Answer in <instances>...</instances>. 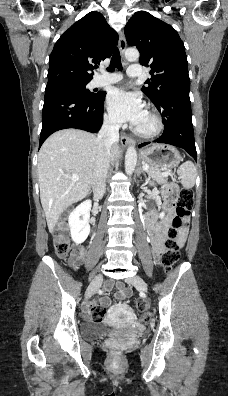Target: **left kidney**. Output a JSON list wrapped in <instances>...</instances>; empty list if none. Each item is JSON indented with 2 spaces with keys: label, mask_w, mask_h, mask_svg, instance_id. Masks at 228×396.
<instances>
[{
  "label": "left kidney",
  "mask_w": 228,
  "mask_h": 396,
  "mask_svg": "<svg viewBox=\"0 0 228 396\" xmlns=\"http://www.w3.org/2000/svg\"><path fill=\"white\" fill-rule=\"evenodd\" d=\"M164 215H165L164 213H161L159 217L162 219L164 218Z\"/></svg>",
  "instance_id": "5707ae66"
}]
</instances>
